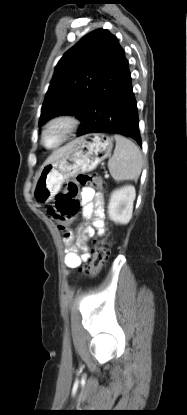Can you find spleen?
<instances>
[{"label": "spleen", "instance_id": "3e777b00", "mask_svg": "<svg viewBox=\"0 0 187 415\" xmlns=\"http://www.w3.org/2000/svg\"><path fill=\"white\" fill-rule=\"evenodd\" d=\"M116 146L113 156L108 161V168L117 182L137 180L141 174L143 157L139 147L121 135L114 136Z\"/></svg>", "mask_w": 187, "mask_h": 415}]
</instances>
